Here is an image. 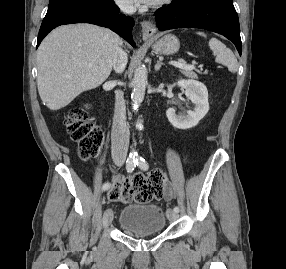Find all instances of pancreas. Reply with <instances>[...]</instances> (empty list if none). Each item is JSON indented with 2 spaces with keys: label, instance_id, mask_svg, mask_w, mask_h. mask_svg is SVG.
Listing matches in <instances>:
<instances>
[{
  "label": "pancreas",
  "instance_id": "1",
  "mask_svg": "<svg viewBox=\"0 0 286 269\" xmlns=\"http://www.w3.org/2000/svg\"><path fill=\"white\" fill-rule=\"evenodd\" d=\"M181 72L183 75H185L186 77L189 78H197V74L195 72H193L192 70H185V69H181Z\"/></svg>",
  "mask_w": 286,
  "mask_h": 269
}]
</instances>
